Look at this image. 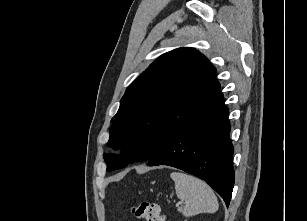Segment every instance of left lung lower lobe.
<instances>
[{
  "label": "left lung lower lobe",
  "instance_id": "obj_1",
  "mask_svg": "<svg viewBox=\"0 0 307 221\" xmlns=\"http://www.w3.org/2000/svg\"><path fill=\"white\" fill-rule=\"evenodd\" d=\"M223 96L178 131L152 156L148 166L168 165L206 181L229 206L233 185V146Z\"/></svg>",
  "mask_w": 307,
  "mask_h": 221
}]
</instances>
